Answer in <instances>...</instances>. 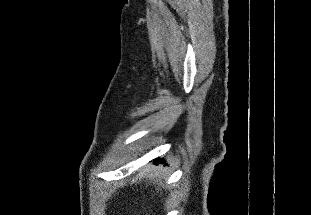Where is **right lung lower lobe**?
<instances>
[{"label":"right lung lower lobe","mask_w":311,"mask_h":215,"mask_svg":"<svg viewBox=\"0 0 311 215\" xmlns=\"http://www.w3.org/2000/svg\"><path fill=\"white\" fill-rule=\"evenodd\" d=\"M160 162H162L161 159H155V163H156V164H158V163H160Z\"/></svg>","instance_id":"98d812e1"}]
</instances>
